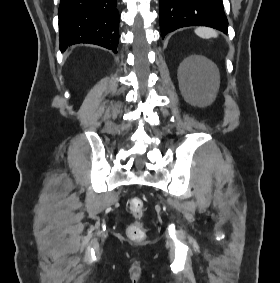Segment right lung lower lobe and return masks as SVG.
I'll list each match as a JSON object with an SVG mask.
<instances>
[{"instance_id": "1", "label": "right lung lower lobe", "mask_w": 280, "mask_h": 283, "mask_svg": "<svg viewBox=\"0 0 280 283\" xmlns=\"http://www.w3.org/2000/svg\"><path fill=\"white\" fill-rule=\"evenodd\" d=\"M117 0H61L59 6L60 50L90 43L116 51L119 39Z\"/></svg>"}]
</instances>
